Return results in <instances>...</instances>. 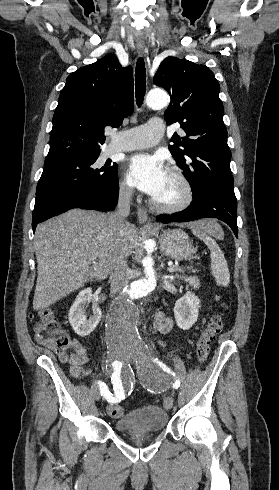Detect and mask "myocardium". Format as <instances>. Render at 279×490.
<instances>
[{
    "label": "myocardium",
    "mask_w": 279,
    "mask_h": 490,
    "mask_svg": "<svg viewBox=\"0 0 279 490\" xmlns=\"http://www.w3.org/2000/svg\"><path fill=\"white\" fill-rule=\"evenodd\" d=\"M168 171L181 185L183 194L180 199L172 203H165L156 199L152 202V206L156 211L160 213L172 215L186 209L192 203L194 193L189 179L185 176V174L179 167L172 166L168 169Z\"/></svg>",
    "instance_id": "f54148a6"
}]
</instances>
